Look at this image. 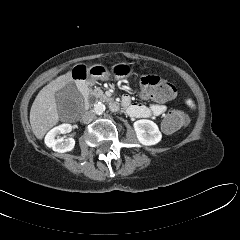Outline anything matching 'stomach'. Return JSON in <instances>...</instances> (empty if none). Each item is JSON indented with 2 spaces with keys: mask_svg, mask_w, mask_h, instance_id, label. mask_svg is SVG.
<instances>
[{
  "mask_svg": "<svg viewBox=\"0 0 240 240\" xmlns=\"http://www.w3.org/2000/svg\"><path fill=\"white\" fill-rule=\"evenodd\" d=\"M132 66L129 63L121 62L112 66L111 72L103 65L96 64L88 69L89 80L95 82L97 80H109L111 75L116 79L129 76L132 73Z\"/></svg>",
  "mask_w": 240,
  "mask_h": 240,
  "instance_id": "1",
  "label": "stomach"
}]
</instances>
